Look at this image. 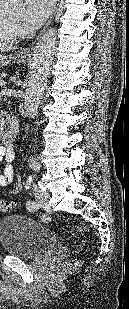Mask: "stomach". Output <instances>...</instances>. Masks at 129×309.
<instances>
[{"label": "stomach", "instance_id": "stomach-1", "mask_svg": "<svg viewBox=\"0 0 129 309\" xmlns=\"http://www.w3.org/2000/svg\"><path fill=\"white\" fill-rule=\"evenodd\" d=\"M29 60V57L27 55H24L23 53H17L16 55H5L0 54V67L7 66L11 63V61L19 62V63H25Z\"/></svg>", "mask_w": 129, "mask_h": 309}]
</instances>
